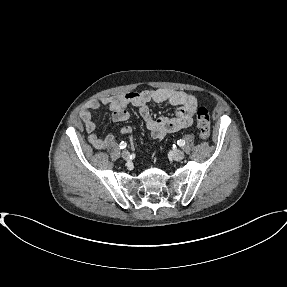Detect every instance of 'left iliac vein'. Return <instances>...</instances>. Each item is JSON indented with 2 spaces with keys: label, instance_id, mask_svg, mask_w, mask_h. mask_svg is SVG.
I'll list each match as a JSON object with an SVG mask.
<instances>
[{
  "label": "left iliac vein",
  "instance_id": "left-iliac-vein-1",
  "mask_svg": "<svg viewBox=\"0 0 287 287\" xmlns=\"http://www.w3.org/2000/svg\"><path fill=\"white\" fill-rule=\"evenodd\" d=\"M185 154L181 150H175L172 153V157L175 161H181L184 158Z\"/></svg>",
  "mask_w": 287,
  "mask_h": 287
}]
</instances>
